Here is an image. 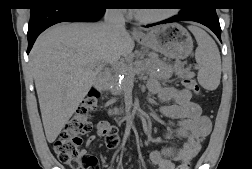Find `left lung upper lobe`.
<instances>
[{"label":"left lung upper lobe","mask_w":252,"mask_h":169,"mask_svg":"<svg viewBox=\"0 0 252 169\" xmlns=\"http://www.w3.org/2000/svg\"><path fill=\"white\" fill-rule=\"evenodd\" d=\"M179 14H188L201 10L216 9L214 0H185Z\"/></svg>","instance_id":"5c2ea615"}]
</instances>
